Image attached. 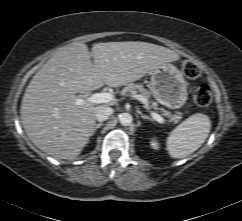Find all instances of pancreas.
<instances>
[{
	"instance_id": "pancreas-1",
	"label": "pancreas",
	"mask_w": 242,
	"mask_h": 221,
	"mask_svg": "<svg viewBox=\"0 0 242 221\" xmlns=\"http://www.w3.org/2000/svg\"><path fill=\"white\" fill-rule=\"evenodd\" d=\"M120 94L133 98H137V96L140 95L143 99H145L144 104L146 108H153L155 110L158 109L157 103L151 100L149 91L145 89L141 84H127L126 87H124L123 90L120 91ZM161 110L163 114L167 116L173 123H177L181 119L180 115H173L169 111L164 110L163 108Z\"/></svg>"
}]
</instances>
